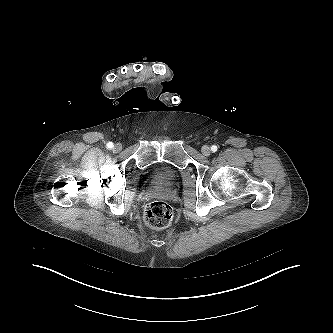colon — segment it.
Listing matches in <instances>:
<instances>
[{
	"label": "colon",
	"instance_id": "colon-1",
	"mask_svg": "<svg viewBox=\"0 0 333 333\" xmlns=\"http://www.w3.org/2000/svg\"><path fill=\"white\" fill-rule=\"evenodd\" d=\"M144 219L151 228H166L173 219V209L164 201H153L145 208Z\"/></svg>",
	"mask_w": 333,
	"mask_h": 333
}]
</instances>
